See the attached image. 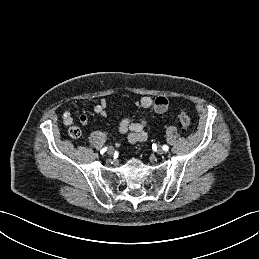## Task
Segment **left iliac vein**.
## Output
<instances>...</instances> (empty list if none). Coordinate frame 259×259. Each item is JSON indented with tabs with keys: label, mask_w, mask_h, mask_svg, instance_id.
<instances>
[{
	"label": "left iliac vein",
	"mask_w": 259,
	"mask_h": 259,
	"mask_svg": "<svg viewBox=\"0 0 259 259\" xmlns=\"http://www.w3.org/2000/svg\"><path fill=\"white\" fill-rule=\"evenodd\" d=\"M156 153H157V154H163V153H164L163 148H162L161 146H159V147L157 148V150H156Z\"/></svg>",
	"instance_id": "1"
}]
</instances>
